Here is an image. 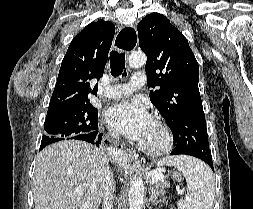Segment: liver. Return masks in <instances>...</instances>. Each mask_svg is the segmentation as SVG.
Returning <instances> with one entry per match:
<instances>
[{
	"label": "liver",
	"instance_id": "obj_1",
	"mask_svg": "<svg viewBox=\"0 0 253 209\" xmlns=\"http://www.w3.org/2000/svg\"><path fill=\"white\" fill-rule=\"evenodd\" d=\"M107 168L103 150L87 142L63 140L47 146L36 161L35 209H98Z\"/></svg>",
	"mask_w": 253,
	"mask_h": 209
}]
</instances>
